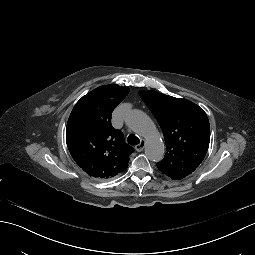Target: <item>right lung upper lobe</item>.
I'll return each instance as SVG.
<instances>
[{"label": "right lung upper lobe", "mask_w": 255, "mask_h": 255, "mask_svg": "<svg viewBox=\"0 0 255 255\" xmlns=\"http://www.w3.org/2000/svg\"><path fill=\"white\" fill-rule=\"evenodd\" d=\"M128 92L116 84L100 86L76 103L68 119V149L78 166L97 180L124 172L134 151L111 125L113 110Z\"/></svg>", "instance_id": "obj_1"}]
</instances>
